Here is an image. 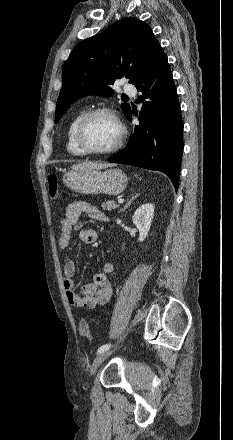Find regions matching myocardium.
<instances>
[{
    "label": "myocardium",
    "instance_id": "1",
    "mask_svg": "<svg viewBox=\"0 0 233 440\" xmlns=\"http://www.w3.org/2000/svg\"><path fill=\"white\" fill-rule=\"evenodd\" d=\"M97 115H108L110 116L114 122L116 123L119 134L116 142L108 149L105 150H94L89 147H87L83 142V132L86 124L88 121ZM126 137V128L122 121L120 120L119 116L117 115L116 111L107 108V107H98L91 109L87 112H85L82 117L80 118L76 128H75V143L77 147L84 153L85 155H94V156H106L113 154L117 152L123 145L124 140Z\"/></svg>",
    "mask_w": 233,
    "mask_h": 440
}]
</instances>
